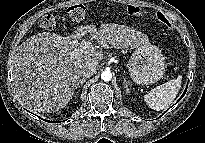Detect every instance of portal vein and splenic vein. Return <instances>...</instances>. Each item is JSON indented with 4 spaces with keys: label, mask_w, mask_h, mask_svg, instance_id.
<instances>
[{
    "label": "portal vein and splenic vein",
    "mask_w": 205,
    "mask_h": 143,
    "mask_svg": "<svg viewBox=\"0 0 205 143\" xmlns=\"http://www.w3.org/2000/svg\"><path fill=\"white\" fill-rule=\"evenodd\" d=\"M81 48L83 50H89V49H94V46L90 43V42H84V43H81Z\"/></svg>",
    "instance_id": "obj_1"
}]
</instances>
